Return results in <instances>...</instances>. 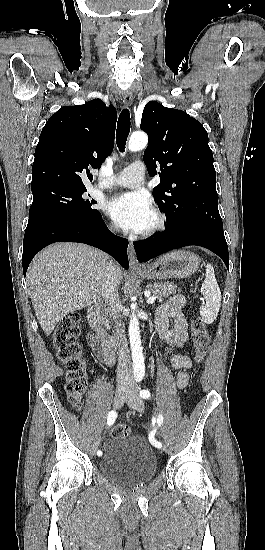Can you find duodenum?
<instances>
[{
  "label": "duodenum",
  "mask_w": 265,
  "mask_h": 550,
  "mask_svg": "<svg viewBox=\"0 0 265 550\" xmlns=\"http://www.w3.org/2000/svg\"><path fill=\"white\" fill-rule=\"evenodd\" d=\"M101 307L102 303L97 301L89 305L87 309V321L94 335V345L102 350H118L121 348L120 340L109 337L101 324Z\"/></svg>",
  "instance_id": "obj_1"
}]
</instances>
